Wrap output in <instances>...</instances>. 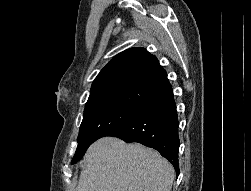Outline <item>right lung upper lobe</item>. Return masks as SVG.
Returning <instances> with one entry per match:
<instances>
[{
  "instance_id": "obj_1",
  "label": "right lung upper lobe",
  "mask_w": 251,
  "mask_h": 191,
  "mask_svg": "<svg viewBox=\"0 0 251 191\" xmlns=\"http://www.w3.org/2000/svg\"><path fill=\"white\" fill-rule=\"evenodd\" d=\"M167 73L144 48L116 55L93 81L85 110L108 103L145 107L170 90Z\"/></svg>"
}]
</instances>
